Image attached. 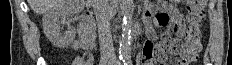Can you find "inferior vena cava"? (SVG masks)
<instances>
[{
	"instance_id": "1",
	"label": "inferior vena cava",
	"mask_w": 232,
	"mask_h": 65,
	"mask_svg": "<svg viewBox=\"0 0 232 65\" xmlns=\"http://www.w3.org/2000/svg\"><path fill=\"white\" fill-rule=\"evenodd\" d=\"M92 3L98 27L101 58L105 61H114L116 56L110 30V6L108 0H92Z\"/></svg>"
}]
</instances>
